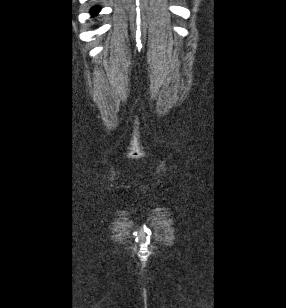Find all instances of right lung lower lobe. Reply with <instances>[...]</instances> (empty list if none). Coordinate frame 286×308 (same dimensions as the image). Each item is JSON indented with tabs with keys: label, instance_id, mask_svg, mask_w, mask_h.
<instances>
[{
	"label": "right lung lower lobe",
	"instance_id": "right-lung-lower-lobe-1",
	"mask_svg": "<svg viewBox=\"0 0 286 308\" xmlns=\"http://www.w3.org/2000/svg\"><path fill=\"white\" fill-rule=\"evenodd\" d=\"M99 11H100V8H99V7H93V8L91 9V14H92V15H95V14H97Z\"/></svg>",
	"mask_w": 286,
	"mask_h": 308
}]
</instances>
